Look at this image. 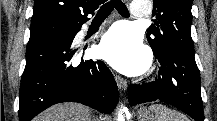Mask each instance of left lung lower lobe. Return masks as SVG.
<instances>
[{
	"label": "left lung lower lobe",
	"mask_w": 217,
	"mask_h": 121,
	"mask_svg": "<svg viewBox=\"0 0 217 121\" xmlns=\"http://www.w3.org/2000/svg\"><path fill=\"white\" fill-rule=\"evenodd\" d=\"M154 55L160 62L157 78L147 84L130 85V105L157 100L177 107L196 121H204L200 73L194 52L170 46Z\"/></svg>",
	"instance_id": "1"
}]
</instances>
